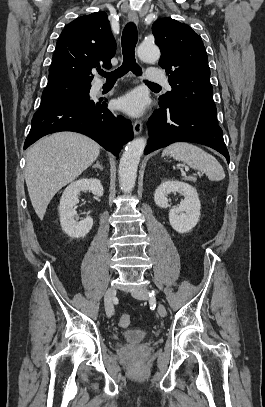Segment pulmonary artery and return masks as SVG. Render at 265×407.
I'll return each instance as SVG.
<instances>
[{"mask_svg":"<svg viewBox=\"0 0 265 407\" xmlns=\"http://www.w3.org/2000/svg\"><path fill=\"white\" fill-rule=\"evenodd\" d=\"M147 77L150 82L155 84H164L168 86L167 78L165 74L160 69L149 68L147 72ZM101 85V83H99Z\"/></svg>","mask_w":265,"mask_h":407,"instance_id":"e3ab8cb5","label":"pulmonary artery"}]
</instances>
